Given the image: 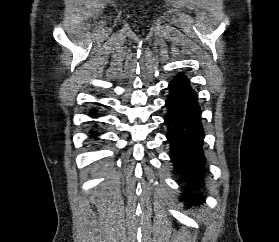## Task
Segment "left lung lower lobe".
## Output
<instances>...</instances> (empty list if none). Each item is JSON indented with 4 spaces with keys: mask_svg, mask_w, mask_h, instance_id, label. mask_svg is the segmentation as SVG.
<instances>
[{
    "mask_svg": "<svg viewBox=\"0 0 279 242\" xmlns=\"http://www.w3.org/2000/svg\"><path fill=\"white\" fill-rule=\"evenodd\" d=\"M170 95L165 105L167 139L175 171L185 180V193L180 198L189 205H198L204 197L197 193L206 175L203 153V128L197 96L188 79L179 75L169 84Z\"/></svg>",
    "mask_w": 279,
    "mask_h": 242,
    "instance_id": "0a47b994",
    "label": "left lung lower lobe"
}]
</instances>
